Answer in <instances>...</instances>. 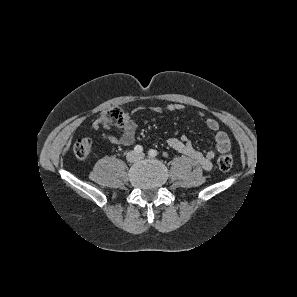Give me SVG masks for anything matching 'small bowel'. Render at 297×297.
Wrapping results in <instances>:
<instances>
[{"label": "small bowel", "instance_id": "small-bowel-1", "mask_svg": "<svg viewBox=\"0 0 297 297\" xmlns=\"http://www.w3.org/2000/svg\"><path fill=\"white\" fill-rule=\"evenodd\" d=\"M184 107L181 104H169L167 110L174 112L180 111ZM162 108L155 106L152 111L155 113H161ZM197 116L199 118L205 119V124L207 128L215 132V144L214 147L205 153H202L195 149L188 138L183 137H172L168 139V145L175 151L186 155L187 157L193 159L197 162L204 170L209 171L212 168V160L217 153H224L230 150V139L226 132L219 130V123L216 119L212 117H206L203 112H198ZM100 127L107 128L108 125L102 122L100 119L94 122V128L99 129ZM137 131V124L130 117V115L125 116V121L122 125V134L119 137H114L110 135L102 134V137L112 144L129 146L134 143L135 135Z\"/></svg>", "mask_w": 297, "mask_h": 297}]
</instances>
